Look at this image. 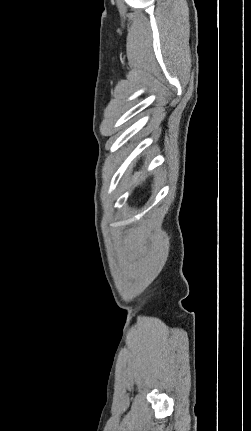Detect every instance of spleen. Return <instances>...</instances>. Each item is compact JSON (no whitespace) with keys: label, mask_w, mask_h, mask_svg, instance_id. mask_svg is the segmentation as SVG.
<instances>
[{"label":"spleen","mask_w":251,"mask_h":431,"mask_svg":"<svg viewBox=\"0 0 251 431\" xmlns=\"http://www.w3.org/2000/svg\"><path fill=\"white\" fill-rule=\"evenodd\" d=\"M138 177H139V175L135 176V181H137V180H138Z\"/></svg>","instance_id":"1"}]
</instances>
